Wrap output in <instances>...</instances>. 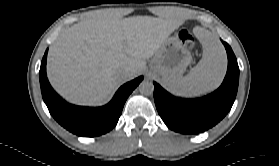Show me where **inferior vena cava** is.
<instances>
[{
    "instance_id": "602c4592",
    "label": "inferior vena cava",
    "mask_w": 279,
    "mask_h": 166,
    "mask_svg": "<svg viewBox=\"0 0 279 166\" xmlns=\"http://www.w3.org/2000/svg\"><path fill=\"white\" fill-rule=\"evenodd\" d=\"M131 73V68L130 67H123L118 71V76L121 79H126L129 74Z\"/></svg>"
}]
</instances>
